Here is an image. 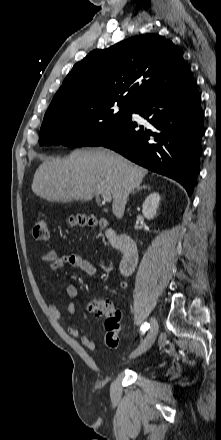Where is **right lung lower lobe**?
I'll use <instances>...</instances> for the list:
<instances>
[{
  "label": "right lung lower lobe",
  "mask_w": 221,
  "mask_h": 440,
  "mask_svg": "<svg viewBox=\"0 0 221 440\" xmlns=\"http://www.w3.org/2000/svg\"><path fill=\"white\" fill-rule=\"evenodd\" d=\"M201 96L192 79L148 97L132 109L147 119L139 126L131 117L101 146L179 182L190 195L199 172L204 134Z\"/></svg>",
  "instance_id": "obj_1"
}]
</instances>
